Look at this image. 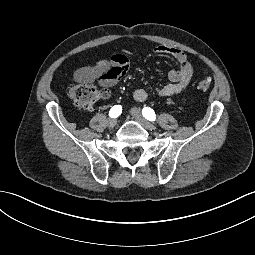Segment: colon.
<instances>
[{"mask_svg":"<svg viewBox=\"0 0 255 255\" xmlns=\"http://www.w3.org/2000/svg\"><path fill=\"white\" fill-rule=\"evenodd\" d=\"M197 87L199 90L206 91L211 87V81L203 79L198 82ZM66 93L69 99L81 109H90L100 95V92L89 84H70Z\"/></svg>","mask_w":255,"mask_h":255,"instance_id":"5ec220e1","label":"colon"}]
</instances>
